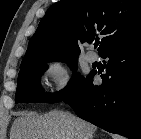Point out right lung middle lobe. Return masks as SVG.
<instances>
[{"label":"right lung middle lobe","mask_w":141,"mask_h":139,"mask_svg":"<svg viewBox=\"0 0 141 139\" xmlns=\"http://www.w3.org/2000/svg\"><path fill=\"white\" fill-rule=\"evenodd\" d=\"M73 69H76L77 58L65 60ZM47 69L45 64L21 68L17 80L16 103H57L68 98L85 80L77 75L63 90L49 94L45 93L40 85V77Z\"/></svg>","instance_id":"1"}]
</instances>
